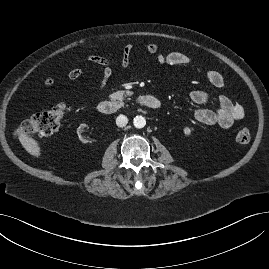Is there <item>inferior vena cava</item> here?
I'll use <instances>...</instances> for the list:
<instances>
[{"label": "inferior vena cava", "instance_id": "inferior-vena-cava-1", "mask_svg": "<svg viewBox=\"0 0 269 269\" xmlns=\"http://www.w3.org/2000/svg\"><path fill=\"white\" fill-rule=\"evenodd\" d=\"M128 123V118L125 115H119L116 118V125L118 127H125Z\"/></svg>", "mask_w": 269, "mask_h": 269}]
</instances>
